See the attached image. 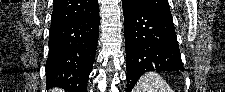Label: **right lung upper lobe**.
Instances as JSON below:
<instances>
[{"label": "right lung upper lobe", "mask_w": 225, "mask_h": 92, "mask_svg": "<svg viewBox=\"0 0 225 92\" xmlns=\"http://www.w3.org/2000/svg\"><path fill=\"white\" fill-rule=\"evenodd\" d=\"M98 11V0H54L50 28L92 16Z\"/></svg>", "instance_id": "cb5924a9"}]
</instances>
